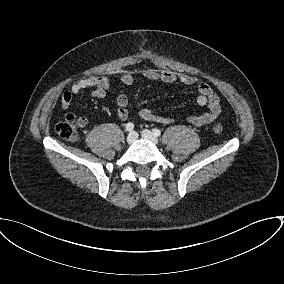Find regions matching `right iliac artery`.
Masks as SVG:
<instances>
[{"mask_svg":"<svg viewBox=\"0 0 284 284\" xmlns=\"http://www.w3.org/2000/svg\"><path fill=\"white\" fill-rule=\"evenodd\" d=\"M125 128L127 131H132L134 129V124L129 122L126 124Z\"/></svg>","mask_w":284,"mask_h":284,"instance_id":"1","label":"right iliac artery"}]
</instances>
